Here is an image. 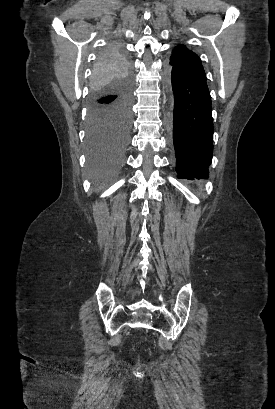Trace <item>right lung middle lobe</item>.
Returning <instances> with one entry per match:
<instances>
[{
    "label": "right lung middle lobe",
    "instance_id": "right-lung-middle-lobe-1",
    "mask_svg": "<svg viewBox=\"0 0 275 409\" xmlns=\"http://www.w3.org/2000/svg\"><path fill=\"white\" fill-rule=\"evenodd\" d=\"M132 84L129 57L117 42H107L90 79L85 165L91 181H121L113 171L129 145Z\"/></svg>",
    "mask_w": 275,
    "mask_h": 409
}]
</instances>
